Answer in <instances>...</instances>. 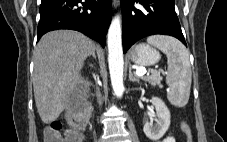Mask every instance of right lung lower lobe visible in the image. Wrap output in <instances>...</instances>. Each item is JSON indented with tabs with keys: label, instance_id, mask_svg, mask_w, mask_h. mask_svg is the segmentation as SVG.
<instances>
[{
	"label": "right lung lower lobe",
	"instance_id": "1",
	"mask_svg": "<svg viewBox=\"0 0 227 142\" xmlns=\"http://www.w3.org/2000/svg\"><path fill=\"white\" fill-rule=\"evenodd\" d=\"M111 15V0H42L37 40L48 31L72 29L104 47Z\"/></svg>",
	"mask_w": 227,
	"mask_h": 142
}]
</instances>
